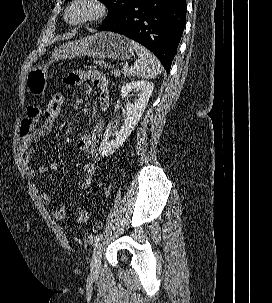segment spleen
Segmentation results:
<instances>
[{
  "mask_svg": "<svg viewBox=\"0 0 272 303\" xmlns=\"http://www.w3.org/2000/svg\"><path fill=\"white\" fill-rule=\"evenodd\" d=\"M139 60L133 69V75L143 79H153L162 71V66L156 56L135 41H130Z\"/></svg>",
  "mask_w": 272,
  "mask_h": 303,
  "instance_id": "3e777b00",
  "label": "spleen"
}]
</instances>
